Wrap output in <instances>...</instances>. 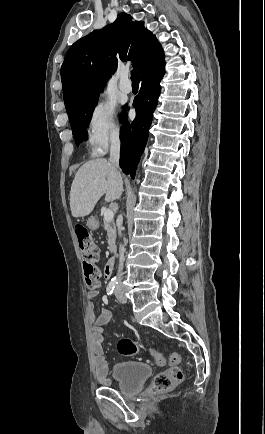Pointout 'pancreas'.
Instances as JSON below:
<instances>
[{
	"instance_id": "pancreas-1",
	"label": "pancreas",
	"mask_w": 265,
	"mask_h": 434,
	"mask_svg": "<svg viewBox=\"0 0 265 434\" xmlns=\"http://www.w3.org/2000/svg\"><path fill=\"white\" fill-rule=\"evenodd\" d=\"M104 228L107 232L108 250H110V252H115L116 228L114 224H111V222H106V220H104Z\"/></svg>"
}]
</instances>
